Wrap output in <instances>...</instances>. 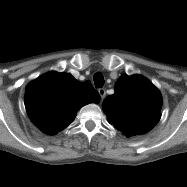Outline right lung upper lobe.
I'll return each instance as SVG.
<instances>
[{"label":"right lung upper lobe","instance_id":"right-lung-upper-lobe-1","mask_svg":"<svg viewBox=\"0 0 187 187\" xmlns=\"http://www.w3.org/2000/svg\"><path fill=\"white\" fill-rule=\"evenodd\" d=\"M99 103L90 81L79 82L71 74L48 72L29 83L25 107L32 122L44 133L56 134L71 124L80 107Z\"/></svg>","mask_w":187,"mask_h":187}]
</instances>
